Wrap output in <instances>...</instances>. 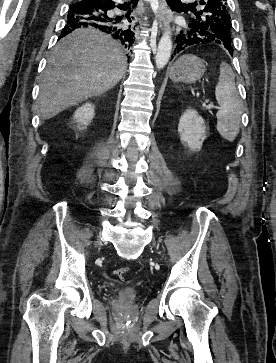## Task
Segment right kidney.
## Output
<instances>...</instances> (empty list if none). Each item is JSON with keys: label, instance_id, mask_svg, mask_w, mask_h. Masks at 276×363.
<instances>
[{"label": "right kidney", "instance_id": "ca27d5eb", "mask_svg": "<svg viewBox=\"0 0 276 363\" xmlns=\"http://www.w3.org/2000/svg\"><path fill=\"white\" fill-rule=\"evenodd\" d=\"M94 115V106L91 103H86L75 111L73 119L78 123L79 129H84L90 124ZM80 125L84 127L80 128Z\"/></svg>", "mask_w": 276, "mask_h": 363}]
</instances>
